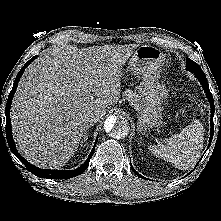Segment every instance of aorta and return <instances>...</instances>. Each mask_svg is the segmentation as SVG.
Returning a JSON list of instances; mask_svg holds the SVG:
<instances>
[{
    "label": "aorta",
    "instance_id": "obj_1",
    "mask_svg": "<svg viewBox=\"0 0 221 221\" xmlns=\"http://www.w3.org/2000/svg\"><path fill=\"white\" fill-rule=\"evenodd\" d=\"M104 129L114 139L125 138L130 130L129 122L120 116H110L104 123Z\"/></svg>",
    "mask_w": 221,
    "mask_h": 221
}]
</instances>
